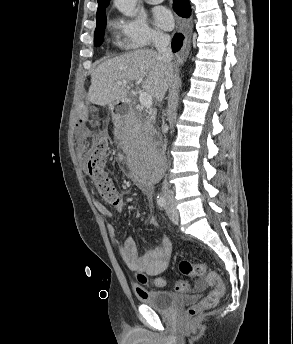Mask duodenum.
<instances>
[{"instance_id": "410a0bca", "label": "duodenum", "mask_w": 293, "mask_h": 344, "mask_svg": "<svg viewBox=\"0 0 293 344\" xmlns=\"http://www.w3.org/2000/svg\"><path fill=\"white\" fill-rule=\"evenodd\" d=\"M121 109H122L121 106H118L116 110H117V112H120Z\"/></svg>"}]
</instances>
